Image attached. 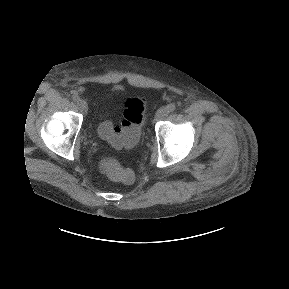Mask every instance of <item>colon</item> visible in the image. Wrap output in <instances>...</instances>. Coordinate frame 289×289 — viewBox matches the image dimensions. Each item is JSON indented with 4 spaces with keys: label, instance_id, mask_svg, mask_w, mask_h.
<instances>
[{
    "label": "colon",
    "instance_id": "colon-1",
    "mask_svg": "<svg viewBox=\"0 0 289 289\" xmlns=\"http://www.w3.org/2000/svg\"><path fill=\"white\" fill-rule=\"evenodd\" d=\"M145 109L146 104L142 98L128 99L124 105L121 124L114 127L110 123H103L100 126L101 136L115 145H124L126 148L134 147L137 144ZM100 167L102 172L110 179L125 183H130L133 180L132 171L122 168L114 157L103 158Z\"/></svg>",
    "mask_w": 289,
    "mask_h": 289
}]
</instances>
